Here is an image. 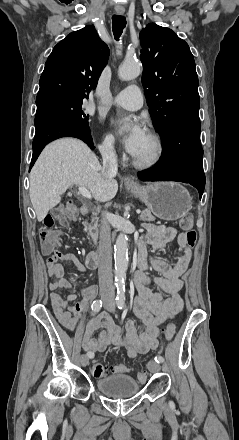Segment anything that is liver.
I'll return each instance as SVG.
<instances>
[{
	"label": "liver",
	"instance_id": "1",
	"mask_svg": "<svg viewBox=\"0 0 239 440\" xmlns=\"http://www.w3.org/2000/svg\"><path fill=\"white\" fill-rule=\"evenodd\" d=\"M74 184L87 188L98 202H109L118 192L116 180L106 178L98 158L84 142L60 138L44 148L30 172L29 196L38 222Z\"/></svg>",
	"mask_w": 239,
	"mask_h": 440
}]
</instances>
